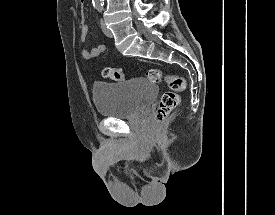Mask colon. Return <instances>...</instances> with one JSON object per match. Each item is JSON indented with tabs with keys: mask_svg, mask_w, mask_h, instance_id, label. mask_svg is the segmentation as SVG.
<instances>
[{
	"mask_svg": "<svg viewBox=\"0 0 275 215\" xmlns=\"http://www.w3.org/2000/svg\"><path fill=\"white\" fill-rule=\"evenodd\" d=\"M103 74L105 77L115 82L122 81L125 77L124 71L117 67H107L104 69ZM147 78L154 83L164 81L168 88V90L162 94L159 106L155 112V121L161 123L178 105L180 93L184 92L186 89V82L182 76L164 73L163 70L158 68L149 69L147 71Z\"/></svg>",
	"mask_w": 275,
	"mask_h": 215,
	"instance_id": "5ec220e1",
	"label": "colon"
}]
</instances>
